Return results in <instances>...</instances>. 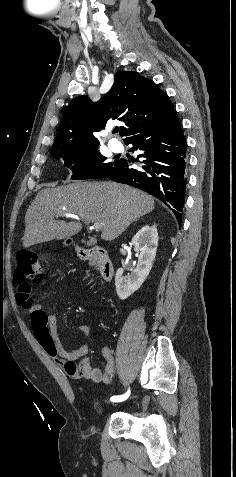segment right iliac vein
<instances>
[{
    "label": "right iliac vein",
    "mask_w": 236,
    "mask_h": 477,
    "mask_svg": "<svg viewBox=\"0 0 236 477\" xmlns=\"http://www.w3.org/2000/svg\"><path fill=\"white\" fill-rule=\"evenodd\" d=\"M109 401H110V400H109ZM118 406H119V405H112V404H110V402L107 404V407L110 408V409H111V408H112V409H114V408L116 409V408H118Z\"/></svg>",
    "instance_id": "63e3f726"
}]
</instances>
